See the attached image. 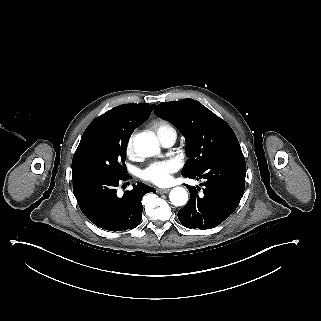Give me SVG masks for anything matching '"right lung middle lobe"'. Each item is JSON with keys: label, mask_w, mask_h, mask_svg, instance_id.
<instances>
[{"label": "right lung middle lobe", "mask_w": 321, "mask_h": 321, "mask_svg": "<svg viewBox=\"0 0 321 321\" xmlns=\"http://www.w3.org/2000/svg\"><path fill=\"white\" fill-rule=\"evenodd\" d=\"M135 129L116 128L96 118L84 131L72 160V171L93 170L115 177L126 175L125 159L129 138Z\"/></svg>", "instance_id": "right-lung-middle-lobe-1"}]
</instances>
